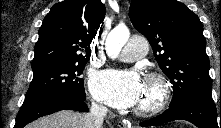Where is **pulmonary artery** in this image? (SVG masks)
<instances>
[{"mask_svg": "<svg viewBox=\"0 0 221 128\" xmlns=\"http://www.w3.org/2000/svg\"><path fill=\"white\" fill-rule=\"evenodd\" d=\"M148 43L142 38H132L124 46L119 59L124 62H132L147 52Z\"/></svg>", "mask_w": 221, "mask_h": 128, "instance_id": "e3ab8cb5", "label": "pulmonary artery"}]
</instances>
